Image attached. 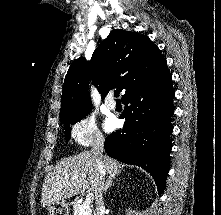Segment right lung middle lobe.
Here are the masks:
<instances>
[{
  "label": "right lung middle lobe",
  "instance_id": "1",
  "mask_svg": "<svg viewBox=\"0 0 221 215\" xmlns=\"http://www.w3.org/2000/svg\"><path fill=\"white\" fill-rule=\"evenodd\" d=\"M89 111H90V109L80 112L78 114H75L71 117H68L67 119L61 120L65 124V131H66L65 138L67 140L70 139V132H71L70 125L75 124L77 121H79L82 118H84L85 116H87L89 114Z\"/></svg>",
  "mask_w": 221,
  "mask_h": 215
}]
</instances>
